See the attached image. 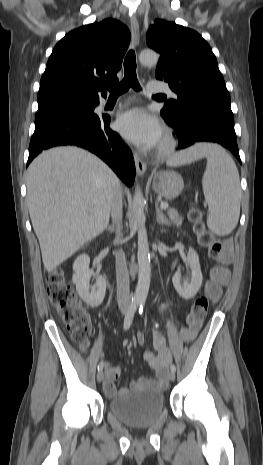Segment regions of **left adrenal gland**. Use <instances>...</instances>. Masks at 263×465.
<instances>
[{"label":"left adrenal gland","mask_w":263,"mask_h":465,"mask_svg":"<svg viewBox=\"0 0 263 465\" xmlns=\"http://www.w3.org/2000/svg\"><path fill=\"white\" fill-rule=\"evenodd\" d=\"M156 208V221L159 224H166L170 225V221L166 218V216L163 214V212L160 210L158 203L155 204Z\"/></svg>","instance_id":"left-adrenal-gland-1"}]
</instances>
